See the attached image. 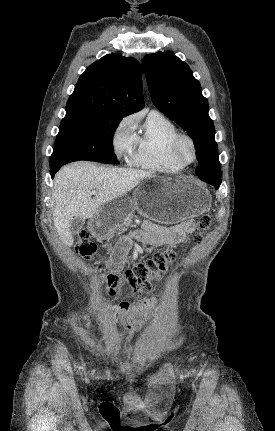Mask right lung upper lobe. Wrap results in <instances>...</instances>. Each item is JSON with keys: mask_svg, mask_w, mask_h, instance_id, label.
<instances>
[{"mask_svg": "<svg viewBox=\"0 0 275 431\" xmlns=\"http://www.w3.org/2000/svg\"><path fill=\"white\" fill-rule=\"evenodd\" d=\"M144 107L140 64L112 54L91 64L66 104V116L107 114L125 117Z\"/></svg>", "mask_w": 275, "mask_h": 431, "instance_id": "right-lung-upper-lobe-1", "label": "right lung upper lobe"}]
</instances>
